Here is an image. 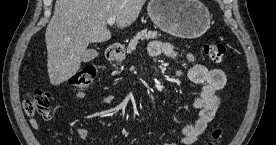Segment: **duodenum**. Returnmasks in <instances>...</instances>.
<instances>
[{
    "label": "duodenum",
    "mask_w": 276,
    "mask_h": 145,
    "mask_svg": "<svg viewBox=\"0 0 276 145\" xmlns=\"http://www.w3.org/2000/svg\"><path fill=\"white\" fill-rule=\"evenodd\" d=\"M123 53V46L112 45L109 47L107 55L110 60H117Z\"/></svg>",
    "instance_id": "obj_1"
}]
</instances>
